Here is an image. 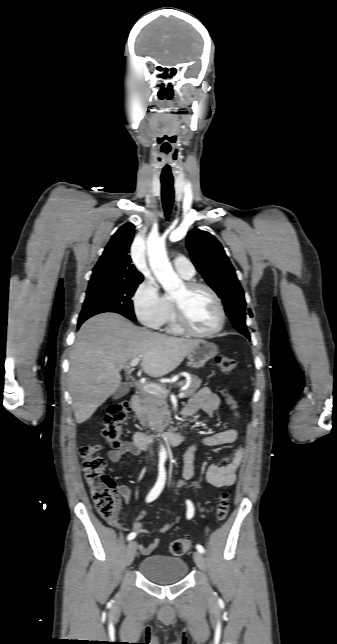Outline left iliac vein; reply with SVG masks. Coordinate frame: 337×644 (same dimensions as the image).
<instances>
[{
  "mask_svg": "<svg viewBox=\"0 0 337 644\" xmlns=\"http://www.w3.org/2000/svg\"><path fill=\"white\" fill-rule=\"evenodd\" d=\"M193 557H194V561H195L197 567L200 570L204 571L206 569V562H205V558L202 555V553L199 552V551H196V552H194Z\"/></svg>",
  "mask_w": 337,
  "mask_h": 644,
  "instance_id": "1",
  "label": "left iliac vein"
}]
</instances>
